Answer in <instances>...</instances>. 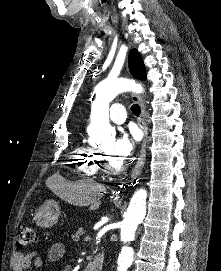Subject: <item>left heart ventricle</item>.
I'll list each match as a JSON object with an SVG mask.
<instances>
[{
  "mask_svg": "<svg viewBox=\"0 0 221 271\" xmlns=\"http://www.w3.org/2000/svg\"><path fill=\"white\" fill-rule=\"evenodd\" d=\"M108 164L111 165L112 168H119L120 164L118 163L117 160H109Z\"/></svg>",
  "mask_w": 221,
  "mask_h": 271,
  "instance_id": "1",
  "label": "left heart ventricle"
}]
</instances>
